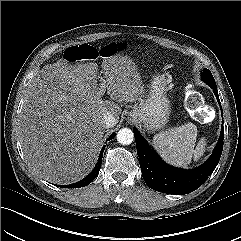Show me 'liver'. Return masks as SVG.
Here are the masks:
<instances>
[{
  "mask_svg": "<svg viewBox=\"0 0 241 241\" xmlns=\"http://www.w3.org/2000/svg\"><path fill=\"white\" fill-rule=\"evenodd\" d=\"M101 73L103 77L96 63L76 66L60 59L32 79L19 135L28 166L44 180L69 184L84 178L97 160L103 114L109 112L118 121L119 104L134 102L144 93L137 66L127 56L104 60ZM106 90L110 100L102 99Z\"/></svg>",
  "mask_w": 241,
  "mask_h": 241,
  "instance_id": "obj_1",
  "label": "liver"
}]
</instances>
